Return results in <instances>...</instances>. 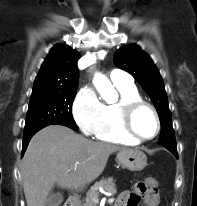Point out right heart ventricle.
Masks as SVG:
<instances>
[{"mask_svg":"<svg viewBox=\"0 0 197 206\" xmlns=\"http://www.w3.org/2000/svg\"><path fill=\"white\" fill-rule=\"evenodd\" d=\"M120 92V101L141 99L134 84H115ZM118 103L102 104V114L94 132L98 140L115 143L135 145L138 142L127 136L121 129L118 118Z\"/></svg>","mask_w":197,"mask_h":206,"instance_id":"e07e8e85","label":"right heart ventricle"}]
</instances>
